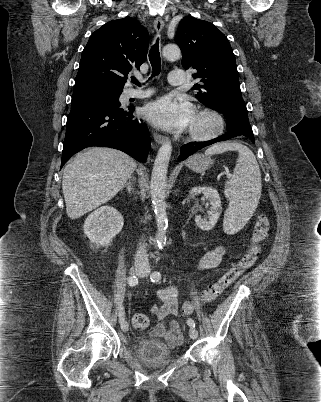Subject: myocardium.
<instances>
[{
    "label": "myocardium",
    "instance_id": "myocardium-1",
    "mask_svg": "<svg viewBox=\"0 0 321 402\" xmlns=\"http://www.w3.org/2000/svg\"><path fill=\"white\" fill-rule=\"evenodd\" d=\"M195 114L207 116L212 119L213 126L208 131H198L194 129H188V137L193 141H208L218 137L225 128V120L223 116L212 108H198Z\"/></svg>",
    "mask_w": 321,
    "mask_h": 402
}]
</instances>
